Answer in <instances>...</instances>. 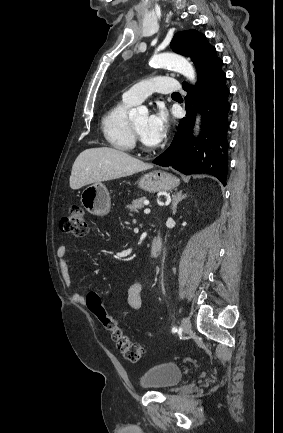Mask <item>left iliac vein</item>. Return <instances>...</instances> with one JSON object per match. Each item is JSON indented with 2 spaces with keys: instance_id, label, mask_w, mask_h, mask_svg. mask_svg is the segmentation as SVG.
<instances>
[{
  "instance_id": "left-iliac-vein-1",
  "label": "left iliac vein",
  "mask_w": 283,
  "mask_h": 433,
  "mask_svg": "<svg viewBox=\"0 0 283 433\" xmlns=\"http://www.w3.org/2000/svg\"><path fill=\"white\" fill-rule=\"evenodd\" d=\"M182 330L184 333H188L191 329V322L188 318L184 317L181 322Z\"/></svg>"
}]
</instances>
